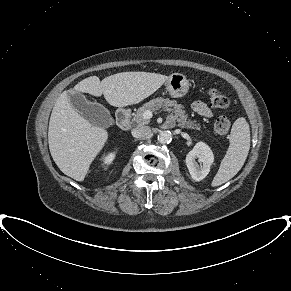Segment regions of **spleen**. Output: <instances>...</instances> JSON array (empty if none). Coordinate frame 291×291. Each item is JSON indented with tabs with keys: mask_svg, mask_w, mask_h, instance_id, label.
<instances>
[{
	"mask_svg": "<svg viewBox=\"0 0 291 291\" xmlns=\"http://www.w3.org/2000/svg\"><path fill=\"white\" fill-rule=\"evenodd\" d=\"M230 145L211 185L219 186L233 178L242 168L250 149V128L246 119L238 118L229 135Z\"/></svg>",
	"mask_w": 291,
	"mask_h": 291,
	"instance_id": "1",
	"label": "spleen"
}]
</instances>
